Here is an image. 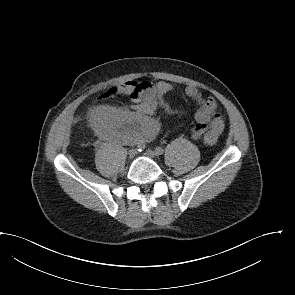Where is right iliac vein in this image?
<instances>
[{"label": "right iliac vein", "mask_w": 295, "mask_h": 295, "mask_svg": "<svg viewBox=\"0 0 295 295\" xmlns=\"http://www.w3.org/2000/svg\"><path fill=\"white\" fill-rule=\"evenodd\" d=\"M137 151L135 149H131L128 152V156L130 159L134 158V156L136 155Z\"/></svg>", "instance_id": "right-iliac-vein-1"}]
</instances>
